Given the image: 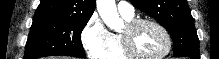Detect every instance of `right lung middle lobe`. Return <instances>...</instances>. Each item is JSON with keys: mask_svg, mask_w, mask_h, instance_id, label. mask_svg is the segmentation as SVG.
<instances>
[{"mask_svg": "<svg viewBox=\"0 0 219 59\" xmlns=\"http://www.w3.org/2000/svg\"><path fill=\"white\" fill-rule=\"evenodd\" d=\"M89 19L34 16L23 59L57 55L85 58L81 33Z\"/></svg>", "mask_w": 219, "mask_h": 59, "instance_id": "dd1d6c3e", "label": "right lung middle lobe"}]
</instances>
